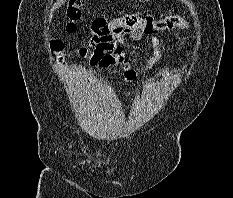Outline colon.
Listing matches in <instances>:
<instances>
[{"label": "colon", "mask_w": 233, "mask_h": 198, "mask_svg": "<svg viewBox=\"0 0 233 198\" xmlns=\"http://www.w3.org/2000/svg\"><path fill=\"white\" fill-rule=\"evenodd\" d=\"M83 3L84 0H69L66 9L67 23L65 28L67 32H76L77 22L82 16ZM186 27V20L176 15H170L163 19H156L152 15L142 16L132 12L111 21L107 20L105 17H97L92 21L90 26V44H95L111 36V34L118 29H139L144 35H151L160 30H170L174 28L184 29ZM53 47L60 51L62 49V43L55 41Z\"/></svg>", "instance_id": "obj_1"}]
</instances>
